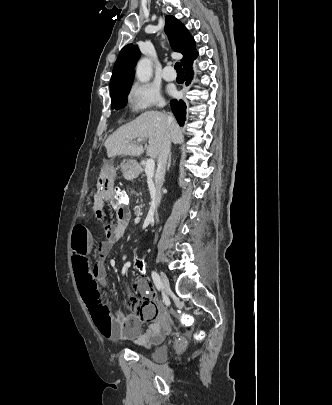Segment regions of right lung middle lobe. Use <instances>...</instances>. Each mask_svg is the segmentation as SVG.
Returning a JSON list of instances; mask_svg holds the SVG:
<instances>
[{"instance_id":"1","label":"right lung middle lobe","mask_w":332,"mask_h":405,"mask_svg":"<svg viewBox=\"0 0 332 405\" xmlns=\"http://www.w3.org/2000/svg\"><path fill=\"white\" fill-rule=\"evenodd\" d=\"M132 82L133 80L122 82L116 85L114 88L110 89L112 109H120L125 107L127 103V95L129 93Z\"/></svg>"}]
</instances>
